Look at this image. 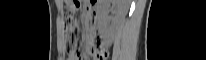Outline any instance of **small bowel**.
<instances>
[{
    "instance_id": "small-bowel-1",
    "label": "small bowel",
    "mask_w": 206,
    "mask_h": 60,
    "mask_svg": "<svg viewBox=\"0 0 206 60\" xmlns=\"http://www.w3.org/2000/svg\"><path fill=\"white\" fill-rule=\"evenodd\" d=\"M89 53L95 57L96 55V47L94 46L93 42H90L88 45ZM79 58H71V60H78ZM84 59H87L86 57Z\"/></svg>"
}]
</instances>
